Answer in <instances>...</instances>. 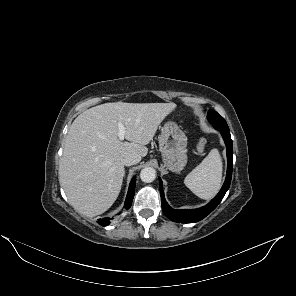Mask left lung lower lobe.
<instances>
[{
	"instance_id": "1",
	"label": "left lung lower lobe",
	"mask_w": 296,
	"mask_h": 296,
	"mask_svg": "<svg viewBox=\"0 0 296 296\" xmlns=\"http://www.w3.org/2000/svg\"><path fill=\"white\" fill-rule=\"evenodd\" d=\"M212 125L214 126L215 129L221 132L222 137L225 141L227 159H228L226 180L220 192L206 206L198 209H194V210H175V209H172L167 204L164 197V191L162 188L163 186L162 180L159 178L162 210L164 214L174 222L194 223L202 220L216 208V206L221 202L225 193L229 189L231 177H232V165H233V145H232V139L230 136L229 127L228 125H221V124H212Z\"/></svg>"
}]
</instances>
